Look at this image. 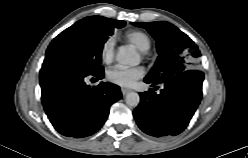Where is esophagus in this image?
<instances>
[{
    "label": "esophagus",
    "instance_id": "34e87169",
    "mask_svg": "<svg viewBox=\"0 0 248 158\" xmlns=\"http://www.w3.org/2000/svg\"><path fill=\"white\" fill-rule=\"evenodd\" d=\"M121 92H122V94L125 96V95H127L129 92H131V90H130V89H127V88H121Z\"/></svg>",
    "mask_w": 248,
    "mask_h": 158
}]
</instances>
